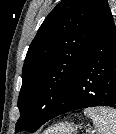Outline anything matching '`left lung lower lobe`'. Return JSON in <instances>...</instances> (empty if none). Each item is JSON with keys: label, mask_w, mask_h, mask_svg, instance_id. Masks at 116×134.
<instances>
[{"label": "left lung lower lobe", "mask_w": 116, "mask_h": 134, "mask_svg": "<svg viewBox=\"0 0 116 134\" xmlns=\"http://www.w3.org/2000/svg\"><path fill=\"white\" fill-rule=\"evenodd\" d=\"M73 85L71 97L59 105L49 120L83 108H116V26L112 15L99 31Z\"/></svg>", "instance_id": "obj_1"}]
</instances>
